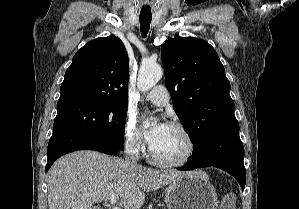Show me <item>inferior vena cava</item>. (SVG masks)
<instances>
[{
    "label": "inferior vena cava",
    "instance_id": "1",
    "mask_svg": "<svg viewBox=\"0 0 299 209\" xmlns=\"http://www.w3.org/2000/svg\"><path fill=\"white\" fill-rule=\"evenodd\" d=\"M125 160L133 165H138L139 160V150L137 149V144L135 141L130 140L125 144Z\"/></svg>",
    "mask_w": 299,
    "mask_h": 209
}]
</instances>
